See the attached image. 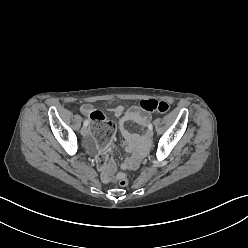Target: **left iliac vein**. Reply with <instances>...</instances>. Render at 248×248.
Listing matches in <instances>:
<instances>
[{
    "mask_svg": "<svg viewBox=\"0 0 248 248\" xmlns=\"http://www.w3.org/2000/svg\"><path fill=\"white\" fill-rule=\"evenodd\" d=\"M147 136L151 138L153 136V131L149 129L147 131Z\"/></svg>",
    "mask_w": 248,
    "mask_h": 248,
    "instance_id": "4c4485c4",
    "label": "left iliac vein"
}]
</instances>
